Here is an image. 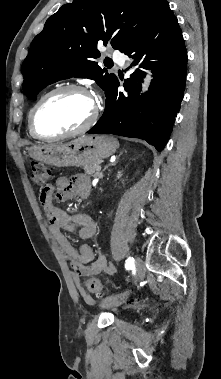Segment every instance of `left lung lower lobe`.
Listing matches in <instances>:
<instances>
[{"label":"left lung lower lobe","mask_w":221,"mask_h":379,"mask_svg":"<svg viewBox=\"0 0 221 379\" xmlns=\"http://www.w3.org/2000/svg\"><path fill=\"white\" fill-rule=\"evenodd\" d=\"M124 54L138 66L124 82L125 93L118 92L116 79L105 92V111L88 134L111 133L140 138L161 151L179 112L187 72V53L183 36L167 1L148 29L131 42ZM143 69H152L149 90L140 95Z\"/></svg>","instance_id":"left-lung-lower-lobe-1"}]
</instances>
